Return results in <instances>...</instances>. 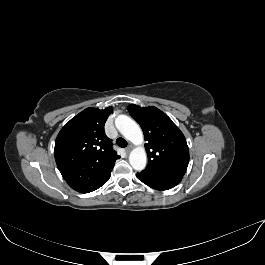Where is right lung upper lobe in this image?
<instances>
[{"mask_svg":"<svg viewBox=\"0 0 265 265\" xmlns=\"http://www.w3.org/2000/svg\"><path fill=\"white\" fill-rule=\"evenodd\" d=\"M112 107L87 108L59 132L54 148L56 164L68 185L84 192L107 177L120 158L105 135Z\"/></svg>","mask_w":265,"mask_h":265,"instance_id":"cb5924a9","label":"right lung upper lobe"}]
</instances>
